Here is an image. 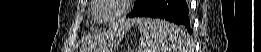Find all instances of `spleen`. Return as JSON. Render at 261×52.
<instances>
[{
    "label": "spleen",
    "mask_w": 261,
    "mask_h": 52,
    "mask_svg": "<svg viewBox=\"0 0 261 52\" xmlns=\"http://www.w3.org/2000/svg\"><path fill=\"white\" fill-rule=\"evenodd\" d=\"M141 33V52H187L191 47L190 37L182 28L159 19H138ZM172 37L167 38V34Z\"/></svg>",
    "instance_id": "3e777b00"
}]
</instances>
